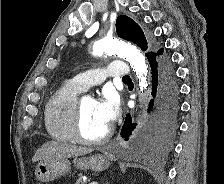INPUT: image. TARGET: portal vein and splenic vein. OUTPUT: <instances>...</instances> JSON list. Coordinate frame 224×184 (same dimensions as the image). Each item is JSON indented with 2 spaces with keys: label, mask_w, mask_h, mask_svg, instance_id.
I'll list each match as a JSON object with an SVG mask.
<instances>
[{
  "label": "portal vein and splenic vein",
  "mask_w": 224,
  "mask_h": 184,
  "mask_svg": "<svg viewBox=\"0 0 224 184\" xmlns=\"http://www.w3.org/2000/svg\"><path fill=\"white\" fill-rule=\"evenodd\" d=\"M90 184H98L97 182H91Z\"/></svg>",
  "instance_id": "1"
}]
</instances>
